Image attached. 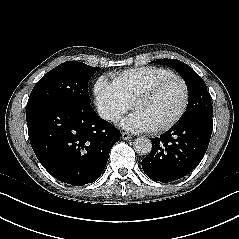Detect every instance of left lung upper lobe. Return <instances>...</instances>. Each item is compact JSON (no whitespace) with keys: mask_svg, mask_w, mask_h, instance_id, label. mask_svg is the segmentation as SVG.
<instances>
[{"mask_svg":"<svg viewBox=\"0 0 239 239\" xmlns=\"http://www.w3.org/2000/svg\"><path fill=\"white\" fill-rule=\"evenodd\" d=\"M157 62L176 69L187 85L188 105L179 123L188 122L200 116L212 117L213 107L203 79L187 64L176 59H158Z\"/></svg>","mask_w":239,"mask_h":239,"instance_id":"left-lung-upper-lobe-1","label":"left lung upper lobe"}]
</instances>
